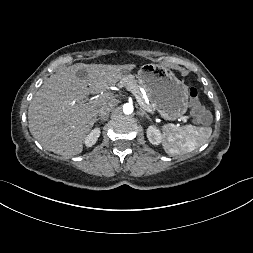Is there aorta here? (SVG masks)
<instances>
[{
  "instance_id": "obj_1",
  "label": "aorta",
  "mask_w": 253,
  "mask_h": 253,
  "mask_svg": "<svg viewBox=\"0 0 253 253\" xmlns=\"http://www.w3.org/2000/svg\"><path fill=\"white\" fill-rule=\"evenodd\" d=\"M133 105L130 103H126L123 105V112L125 114H131L133 112Z\"/></svg>"
}]
</instances>
